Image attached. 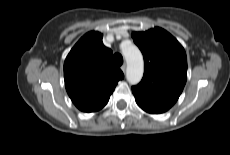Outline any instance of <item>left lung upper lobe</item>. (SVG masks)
<instances>
[{"mask_svg": "<svg viewBox=\"0 0 230 155\" xmlns=\"http://www.w3.org/2000/svg\"><path fill=\"white\" fill-rule=\"evenodd\" d=\"M132 38L144 57V76L132 87L134 96L171 108L187 79V57L182 45L166 30L153 28L134 32Z\"/></svg>", "mask_w": 230, "mask_h": 155, "instance_id": "5c2ea615", "label": "left lung upper lobe"}]
</instances>
